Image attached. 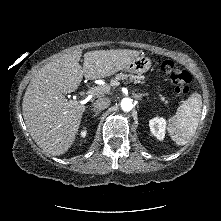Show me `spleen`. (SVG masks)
<instances>
[{"label": "spleen", "instance_id": "1", "mask_svg": "<svg viewBox=\"0 0 221 221\" xmlns=\"http://www.w3.org/2000/svg\"><path fill=\"white\" fill-rule=\"evenodd\" d=\"M202 112V99L198 92L192 93L169 118L168 133L179 146L187 144L194 136Z\"/></svg>", "mask_w": 221, "mask_h": 221}]
</instances>
